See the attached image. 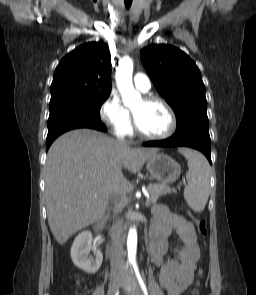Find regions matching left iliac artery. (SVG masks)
I'll use <instances>...</instances> for the list:
<instances>
[{
	"label": "left iliac artery",
	"mask_w": 256,
	"mask_h": 295,
	"mask_svg": "<svg viewBox=\"0 0 256 295\" xmlns=\"http://www.w3.org/2000/svg\"><path fill=\"white\" fill-rule=\"evenodd\" d=\"M132 265H133L137 280H138V282H139V284H140V286H141V288H142V290L144 292V295H148L147 287H146L145 282H144V280H143V278H142V276H141V274L139 272L137 263L133 262Z\"/></svg>",
	"instance_id": "1"
}]
</instances>
